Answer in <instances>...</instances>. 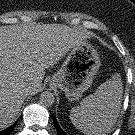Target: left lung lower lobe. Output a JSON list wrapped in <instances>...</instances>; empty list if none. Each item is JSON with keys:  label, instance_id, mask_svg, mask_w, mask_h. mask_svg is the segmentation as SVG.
Returning <instances> with one entry per match:
<instances>
[{"label": "left lung lower lobe", "instance_id": "left-lung-lower-lobe-1", "mask_svg": "<svg viewBox=\"0 0 135 135\" xmlns=\"http://www.w3.org/2000/svg\"><path fill=\"white\" fill-rule=\"evenodd\" d=\"M52 118H53V122H54L55 128H56V130H57V132H58V135H67V134L60 128V126L58 125V122H57L56 118H55L54 116H52Z\"/></svg>", "mask_w": 135, "mask_h": 135}]
</instances>
